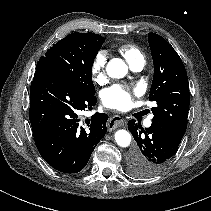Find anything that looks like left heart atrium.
<instances>
[{
	"mask_svg": "<svg viewBox=\"0 0 211 211\" xmlns=\"http://www.w3.org/2000/svg\"><path fill=\"white\" fill-rule=\"evenodd\" d=\"M135 94L134 89L113 85L102 92V102L107 108L123 111L131 107Z\"/></svg>",
	"mask_w": 211,
	"mask_h": 211,
	"instance_id": "left-heart-atrium-1",
	"label": "left heart atrium"
}]
</instances>
